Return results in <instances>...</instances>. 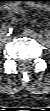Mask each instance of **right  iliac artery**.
<instances>
[{"mask_svg":"<svg viewBox=\"0 0 50 111\" xmlns=\"http://www.w3.org/2000/svg\"><path fill=\"white\" fill-rule=\"evenodd\" d=\"M11 33H12V28L10 26H5L1 30L2 35H5V34L10 35Z\"/></svg>","mask_w":50,"mask_h":111,"instance_id":"1","label":"right iliac artery"}]
</instances>
